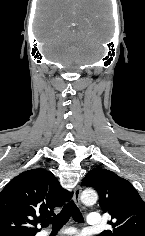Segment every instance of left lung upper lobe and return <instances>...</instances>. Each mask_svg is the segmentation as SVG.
I'll return each instance as SVG.
<instances>
[{
  "instance_id": "5c2ea615",
  "label": "left lung upper lobe",
  "mask_w": 145,
  "mask_h": 236,
  "mask_svg": "<svg viewBox=\"0 0 145 236\" xmlns=\"http://www.w3.org/2000/svg\"><path fill=\"white\" fill-rule=\"evenodd\" d=\"M84 186L99 193V204L110 214L113 229L98 236H145V203L126 179L114 172L94 168L83 179Z\"/></svg>"
}]
</instances>
